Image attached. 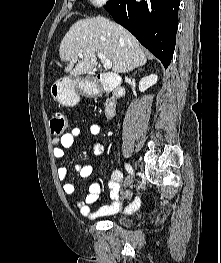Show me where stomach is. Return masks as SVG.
<instances>
[{
    "mask_svg": "<svg viewBox=\"0 0 221 263\" xmlns=\"http://www.w3.org/2000/svg\"><path fill=\"white\" fill-rule=\"evenodd\" d=\"M89 90L87 80L77 76H66L51 85L50 94L54 100L63 106L71 107L78 103L79 93Z\"/></svg>",
    "mask_w": 221,
    "mask_h": 263,
    "instance_id": "obj_1",
    "label": "stomach"
}]
</instances>
